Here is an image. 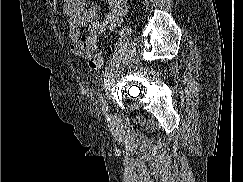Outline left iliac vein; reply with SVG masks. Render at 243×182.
Returning <instances> with one entry per match:
<instances>
[{"label":"left iliac vein","mask_w":243,"mask_h":182,"mask_svg":"<svg viewBox=\"0 0 243 182\" xmlns=\"http://www.w3.org/2000/svg\"><path fill=\"white\" fill-rule=\"evenodd\" d=\"M112 117H113V116H112V115H110V119H112Z\"/></svg>","instance_id":"4c4485c4"}]
</instances>
